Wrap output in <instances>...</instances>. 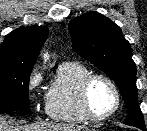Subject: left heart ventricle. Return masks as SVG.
<instances>
[{
    "instance_id": "b2bd125f",
    "label": "left heart ventricle",
    "mask_w": 147,
    "mask_h": 131,
    "mask_svg": "<svg viewBox=\"0 0 147 131\" xmlns=\"http://www.w3.org/2000/svg\"><path fill=\"white\" fill-rule=\"evenodd\" d=\"M89 102L93 113L96 115L107 114L114 108L115 95L106 81L102 79L93 81L89 90Z\"/></svg>"
}]
</instances>
